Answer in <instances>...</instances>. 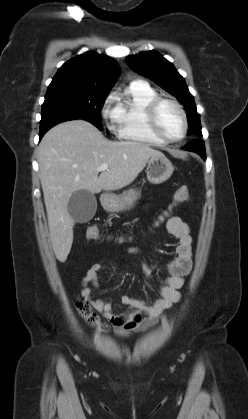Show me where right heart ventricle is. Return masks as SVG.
Returning a JSON list of instances; mask_svg holds the SVG:
<instances>
[{
    "label": "right heart ventricle",
    "instance_id": "e07e8e85",
    "mask_svg": "<svg viewBox=\"0 0 248 419\" xmlns=\"http://www.w3.org/2000/svg\"><path fill=\"white\" fill-rule=\"evenodd\" d=\"M157 92L144 82L130 83L118 97L116 131L120 139L154 146L163 144L147 128L145 109Z\"/></svg>",
    "mask_w": 248,
    "mask_h": 419
}]
</instances>
